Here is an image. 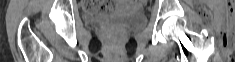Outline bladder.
Masks as SVG:
<instances>
[{"label":"bladder","mask_w":235,"mask_h":62,"mask_svg":"<svg viewBox=\"0 0 235 62\" xmlns=\"http://www.w3.org/2000/svg\"><path fill=\"white\" fill-rule=\"evenodd\" d=\"M108 19L124 24L129 28H138L146 22V17L142 10L130 2H121L117 8L108 15L93 13L86 15L87 22L91 24H99Z\"/></svg>","instance_id":"31cf9c89"}]
</instances>
